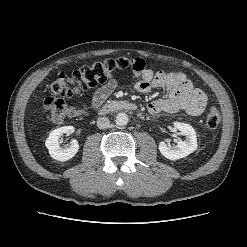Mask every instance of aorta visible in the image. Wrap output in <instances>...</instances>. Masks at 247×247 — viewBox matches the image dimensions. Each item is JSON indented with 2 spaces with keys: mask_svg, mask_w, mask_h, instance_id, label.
I'll return each mask as SVG.
<instances>
[{
  "mask_svg": "<svg viewBox=\"0 0 247 247\" xmlns=\"http://www.w3.org/2000/svg\"><path fill=\"white\" fill-rule=\"evenodd\" d=\"M128 115L124 112H120L116 115L115 117V123L118 125V126H125L127 125L128 123Z\"/></svg>",
  "mask_w": 247,
  "mask_h": 247,
  "instance_id": "obj_1",
  "label": "aorta"
}]
</instances>
